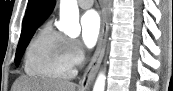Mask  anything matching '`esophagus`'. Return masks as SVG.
I'll return each mask as SVG.
<instances>
[{
  "instance_id": "esophagus-1",
  "label": "esophagus",
  "mask_w": 173,
  "mask_h": 91,
  "mask_svg": "<svg viewBox=\"0 0 173 91\" xmlns=\"http://www.w3.org/2000/svg\"><path fill=\"white\" fill-rule=\"evenodd\" d=\"M109 29V11H108V1H101V32L99 35L98 45L95 53L82 77L80 86L83 90H88L91 83L101 65L102 59L104 57L107 36Z\"/></svg>"
}]
</instances>
